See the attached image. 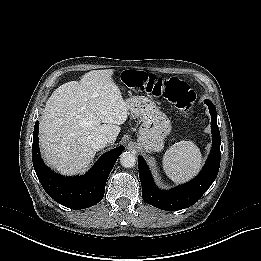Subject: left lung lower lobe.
Listing matches in <instances>:
<instances>
[{"instance_id": "left-lung-lower-lobe-1", "label": "left lung lower lobe", "mask_w": 261, "mask_h": 261, "mask_svg": "<svg viewBox=\"0 0 261 261\" xmlns=\"http://www.w3.org/2000/svg\"><path fill=\"white\" fill-rule=\"evenodd\" d=\"M205 103L208 105L211 115L213 140L212 149L204 168L192 181L170 191H161L155 186L144 159L139 156V178L142 186V197L146 203L167 211L188 208L202 197L215 180L220 166L221 137L217 125L216 109L209 100H205Z\"/></svg>"}]
</instances>
